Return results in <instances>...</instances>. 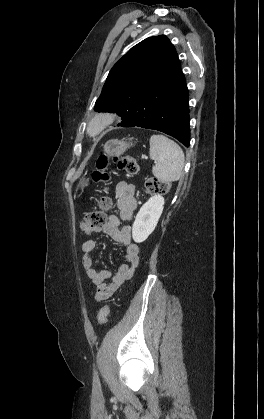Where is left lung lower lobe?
<instances>
[{
  "label": "left lung lower lobe",
  "instance_id": "left-lung-lower-lobe-1",
  "mask_svg": "<svg viewBox=\"0 0 264 419\" xmlns=\"http://www.w3.org/2000/svg\"><path fill=\"white\" fill-rule=\"evenodd\" d=\"M188 89L179 67L178 73L150 90L122 116L118 126L142 127L166 133L185 146L190 143Z\"/></svg>",
  "mask_w": 264,
  "mask_h": 419
}]
</instances>
